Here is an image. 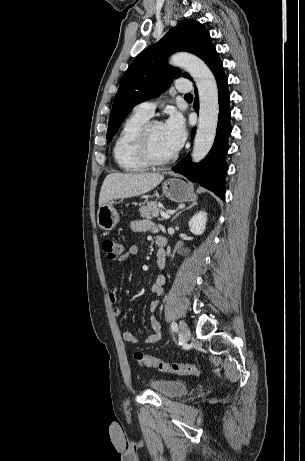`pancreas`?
Instances as JSON below:
<instances>
[{"instance_id":"cf45deb5","label":"pancreas","mask_w":305,"mask_h":461,"mask_svg":"<svg viewBox=\"0 0 305 461\" xmlns=\"http://www.w3.org/2000/svg\"><path fill=\"white\" fill-rule=\"evenodd\" d=\"M162 204H157L154 201L148 202L146 205H142L139 208L140 215L147 219H153L158 217L159 212L163 209ZM162 220V219H159Z\"/></svg>"}]
</instances>
